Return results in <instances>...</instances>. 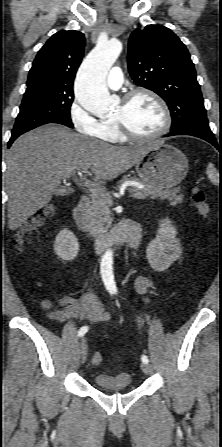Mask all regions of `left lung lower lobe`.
<instances>
[{"label":"left lung lower lobe","mask_w":222,"mask_h":447,"mask_svg":"<svg viewBox=\"0 0 222 447\" xmlns=\"http://www.w3.org/2000/svg\"><path fill=\"white\" fill-rule=\"evenodd\" d=\"M174 135H191V136L199 137L201 139L208 141L209 143L214 145L220 152H222V145L221 146L218 145L213 134H211V135L204 134V133H201V132L193 130V129H179L176 131H171L169 136H174Z\"/></svg>","instance_id":"1"}]
</instances>
